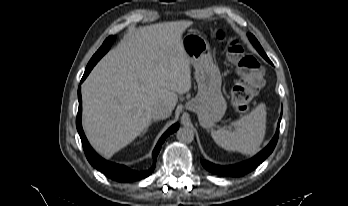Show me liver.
I'll list each match as a JSON object with an SVG mask.
<instances>
[{"mask_svg": "<svg viewBox=\"0 0 348 206\" xmlns=\"http://www.w3.org/2000/svg\"><path fill=\"white\" fill-rule=\"evenodd\" d=\"M190 25L182 20L134 30L84 81L83 128L104 158L137 138L150 124L155 107L172 112L177 94L191 89V64L182 46V34Z\"/></svg>", "mask_w": 348, "mask_h": 206, "instance_id": "liver-1", "label": "liver"}]
</instances>
